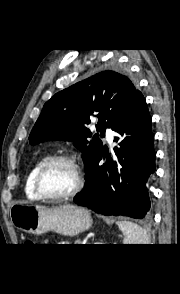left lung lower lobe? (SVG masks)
<instances>
[{
  "label": "left lung lower lobe",
  "instance_id": "0a47b994",
  "mask_svg": "<svg viewBox=\"0 0 180 294\" xmlns=\"http://www.w3.org/2000/svg\"><path fill=\"white\" fill-rule=\"evenodd\" d=\"M146 100L139 91L111 125L118 135L114 152L101 147L86 173L84 189L74 202L103 215L148 216L150 200L145 183L155 171L154 135ZM106 163L99 165L100 160Z\"/></svg>",
  "mask_w": 180,
  "mask_h": 294
}]
</instances>
